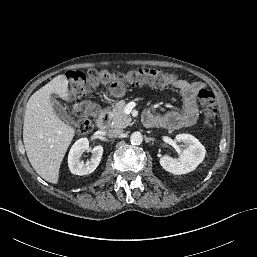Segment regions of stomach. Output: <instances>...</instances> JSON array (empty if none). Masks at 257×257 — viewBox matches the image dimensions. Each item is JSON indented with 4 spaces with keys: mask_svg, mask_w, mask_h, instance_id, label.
I'll use <instances>...</instances> for the list:
<instances>
[{
    "mask_svg": "<svg viewBox=\"0 0 257 257\" xmlns=\"http://www.w3.org/2000/svg\"><path fill=\"white\" fill-rule=\"evenodd\" d=\"M108 91L111 96L120 98L123 97L125 94V88L122 84H115L108 88Z\"/></svg>",
    "mask_w": 257,
    "mask_h": 257,
    "instance_id": "0dacf381",
    "label": "stomach"
}]
</instances>
